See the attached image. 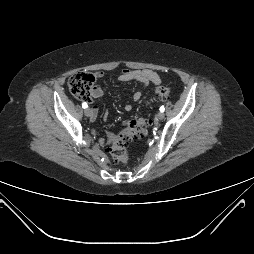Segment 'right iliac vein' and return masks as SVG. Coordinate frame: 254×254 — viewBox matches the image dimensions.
Listing matches in <instances>:
<instances>
[{
	"label": "right iliac vein",
	"instance_id": "1",
	"mask_svg": "<svg viewBox=\"0 0 254 254\" xmlns=\"http://www.w3.org/2000/svg\"><path fill=\"white\" fill-rule=\"evenodd\" d=\"M84 114H85V116L90 117V116L92 115L91 109H90V108H86V109L84 110Z\"/></svg>",
	"mask_w": 254,
	"mask_h": 254
}]
</instances>
